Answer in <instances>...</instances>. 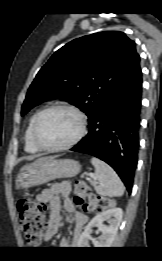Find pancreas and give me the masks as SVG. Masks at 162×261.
Wrapping results in <instances>:
<instances>
[{"instance_id": "pancreas-1", "label": "pancreas", "mask_w": 162, "mask_h": 261, "mask_svg": "<svg viewBox=\"0 0 162 261\" xmlns=\"http://www.w3.org/2000/svg\"><path fill=\"white\" fill-rule=\"evenodd\" d=\"M90 183H91L92 185H94L93 182L90 181Z\"/></svg>"}]
</instances>
